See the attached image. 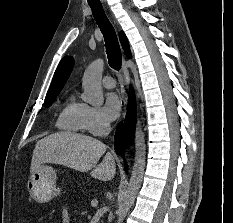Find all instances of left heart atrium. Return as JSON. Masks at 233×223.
<instances>
[{"label":"left heart atrium","mask_w":233,"mask_h":223,"mask_svg":"<svg viewBox=\"0 0 233 223\" xmlns=\"http://www.w3.org/2000/svg\"><path fill=\"white\" fill-rule=\"evenodd\" d=\"M122 111V105L120 99L112 94L107 98L105 104V113L109 120L113 121L119 118Z\"/></svg>","instance_id":"39dd6f15"}]
</instances>
